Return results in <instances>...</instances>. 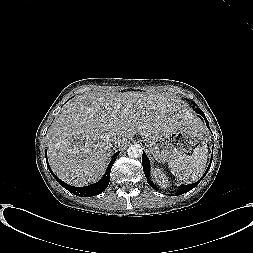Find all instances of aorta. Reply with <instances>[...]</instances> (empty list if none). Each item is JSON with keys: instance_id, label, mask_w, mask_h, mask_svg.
Segmentation results:
<instances>
[{"instance_id": "aorta-1", "label": "aorta", "mask_w": 253, "mask_h": 253, "mask_svg": "<svg viewBox=\"0 0 253 253\" xmlns=\"http://www.w3.org/2000/svg\"><path fill=\"white\" fill-rule=\"evenodd\" d=\"M127 154L131 158H138L142 155V148L139 144H133L127 149Z\"/></svg>"}]
</instances>
